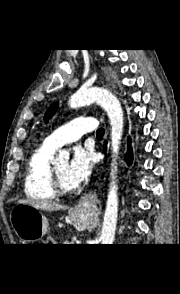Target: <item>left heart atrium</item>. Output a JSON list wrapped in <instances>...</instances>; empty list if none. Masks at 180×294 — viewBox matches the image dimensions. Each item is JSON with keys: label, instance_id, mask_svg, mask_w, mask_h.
Masks as SVG:
<instances>
[{"label": "left heart atrium", "instance_id": "left-heart-atrium-1", "mask_svg": "<svg viewBox=\"0 0 180 294\" xmlns=\"http://www.w3.org/2000/svg\"><path fill=\"white\" fill-rule=\"evenodd\" d=\"M94 160L90 150L77 147L68 164L67 177L74 186L88 179L92 172Z\"/></svg>", "mask_w": 180, "mask_h": 294}]
</instances>
